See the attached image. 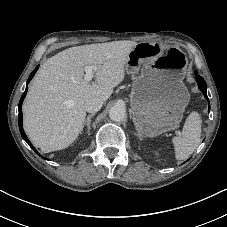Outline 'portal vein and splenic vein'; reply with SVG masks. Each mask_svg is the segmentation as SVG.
I'll return each instance as SVG.
<instances>
[{"label":"portal vein and splenic vein","instance_id":"1","mask_svg":"<svg viewBox=\"0 0 227 227\" xmlns=\"http://www.w3.org/2000/svg\"><path fill=\"white\" fill-rule=\"evenodd\" d=\"M97 69V67L96 66H94V65H88V66H85V68H84V70H85V76H84V80L86 81V82H90L91 80H92V78H93V72H94V70H96Z\"/></svg>","mask_w":227,"mask_h":227}]
</instances>
